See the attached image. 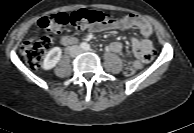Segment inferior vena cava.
Returning a JSON list of instances; mask_svg holds the SVG:
<instances>
[{"label":"inferior vena cava","mask_w":194,"mask_h":133,"mask_svg":"<svg viewBox=\"0 0 194 133\" xmlns=\"http://www.w3.org/2000/svg\"><path fill=\"white\" fill-rule=\"evenodd\" d=\"M81 53H82V49H81L80 46L73 45V46L69 47V54H70V56L75 57V56H77V55H79Z\"/></svg>","instance_id":"602c4592"}]
</instances>
